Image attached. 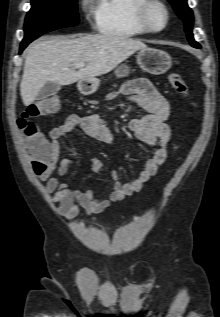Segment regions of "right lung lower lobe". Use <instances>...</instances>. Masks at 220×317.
<instances>
[{
    "label": "right lung lower lobe",
    "instance_id": "1",
    "mask_svg": "<svg viewBox=\"0 0 220 317\" xmlns=\"http://www.w3.org/2000/svg\"><path fill=\"white\" fill-rule=\"evenodd\" d=\"M33 41V40H32ZM32 41H28V42H22L21 43V46H20V52L19 53H22V51L24 50V48Z\"/></svg>",
    "mask_w": 220,
    "mask_h": 317
}]
</instances>
